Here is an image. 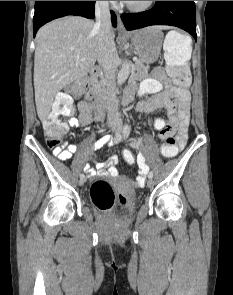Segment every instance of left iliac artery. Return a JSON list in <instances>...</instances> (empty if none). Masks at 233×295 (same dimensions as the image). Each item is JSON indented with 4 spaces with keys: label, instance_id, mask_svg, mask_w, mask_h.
<instances>
[{
    "label": "left iliac artery",
    "instance_id": "44dca946",
    "mask_svg": "<svg viewBox=\"0 0 233 295\" xmlns=\"http://www.w3.org/2000/svg\"><path fill=\"white\" fill-rule=\"evenodd\" d=\"M129 134H130V127H129L128 124H125L124 125V128H123V136H124V138L125 139L128 138ZM148 177L149 178H152L153 177V173L152 172H149L148 173Z\"/></svg>",
    "mask_w": 233,
    "mask_h": 295
}]
</instances>
